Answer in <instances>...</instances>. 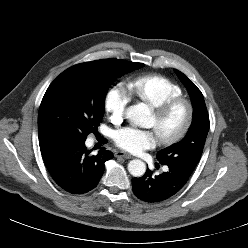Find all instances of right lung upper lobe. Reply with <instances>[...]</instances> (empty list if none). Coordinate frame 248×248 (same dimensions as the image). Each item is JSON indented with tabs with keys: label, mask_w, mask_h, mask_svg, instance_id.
<instances>
[{
	"label": "right lung upper lobe",
	"mask_w": 248,
	"mask_h": 248,
	"mask_svg": "<svg viewBox=\"0 0 248 248\" xmlns=\"http://www.w3.org/2000/svg\"><path fill=\"white\" fill-rule=\"evenodd\" d=\"M54 140V138L52 137H48V136H39V144H40V147L45 145L46 143L50 142Z\"/></svg>",
	"instance_id": "1"
}]
</instances>
